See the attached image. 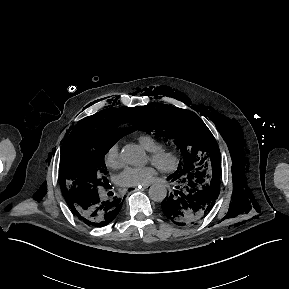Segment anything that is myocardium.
I'll list each match as a JSON object with an SVG mask.
<instances>
[{"label": "myocardium", "mask_w": 289, "mask_h": 289, "mask_svg": "<svg viewBox=\"0 0 289 289\" xmlns=\"http://www.w3.org/2000/svg\"><path fill=\"white\" fill-rule=\"evenodd\" d=\"M150 161L163 172L175 171L181 162L180 153L171 147H160L154 151H149Z\"/></svg>", "instance_id": "1"}]
</instances>
